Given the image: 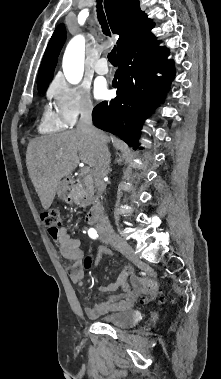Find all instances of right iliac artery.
Instances as JSON below:
<instances>
[{
  "mask_svg": "<svg viewBox=\"0 0 221 379\" xmlns=\"http://www.w3.org/2000/svg\"><path fill=\"white\" fill-rule=\"evenodd\" d=\"M88 235L92 238V239H96L98 237V234H97V231L94 229V228H90L88 230Z\"/></svg>",
  "mask_w": 221,
  "mask_h": 379,
  "instance_id": "obj_1",
  "label": "right iliac artery"
}]
</instances>
